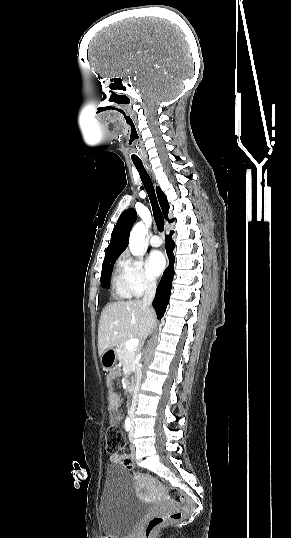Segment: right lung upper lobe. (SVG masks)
Listing matches in <instances>:
<instances>
[{
  "label": "right lung upper lobe",
  "instance_id": "obj_1",
  "mask_svg": "<svg viewBox=\"0 0 291 538\" xmlns=\"http://www.w3.org/2000/svg\"><path fill=\"white\" fill-rule=\"evenodd\" d=\"M156 192H157L158 200L162 208L164 217L169 222H173L174 219L169 220L167 217L170 207H169L165 194L162 192V190L159 187H156ZM136 219H137V213L135 209L133 208L124 211L120 215L113 229L110 244L106 249L105 258L103 262L111 260V259H117L118 256L127 248L130 230L134 222L136 221Z\"/></svg>",
  "mask_w": 291,
  "mask_h": 538
}]
</instances>
